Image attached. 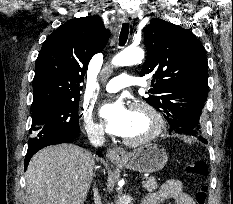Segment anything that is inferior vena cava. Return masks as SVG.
<instances>
[{
	"label": "inferior vena cava",
	"mask_w": 233,
	"mask_h": 204,
	"mask_svg": "<svg viewBox=\"0 0 233 204\" xmlns=\"http://www.w3.org/2000/svg\"><path fill=\"white\" fill-rule=\"evenodd\" d=\"M90 142L95 146H102L105 142L103 132L96 131L90 135ZM100 204V203H99Z\"/></svg>",
	"instance_id": "1"
}]
</instances>
